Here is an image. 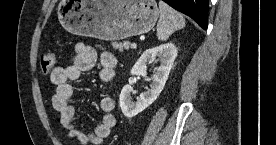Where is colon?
Returning a JSON list of instances; mask_svg holds the SVG:
<instances>
[{
  "instance_id": "1",
  "label": "colon",
  "mask_w": 276,
  "mask_h": 145,
  "mask_svg": "<svg viewBox=\"0 0 276 145\" xmlns=\"http://www.w3.org/2000/svg\"><path fill=\"white\" fill-rule=\"evenodd\" d=\"M56 56L52 50L45 51L40 58V69L41 72L46 74L49 73L55 65Z\"/></svg>"
}]
</instances>
